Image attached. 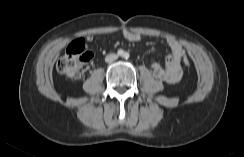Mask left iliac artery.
Here are the masks:
<instances>
[{
	"label": "left iliac artery",
	"mask_w": 244,
	"mask_h": 157,
	"mask_svg": "<svg viewBox=\"0 0 244 157\" xmlns=\"http://www.w3.org/2000/svg\"><path fill=\"white\" fill-rule=\"evenodd\" d=\"M123 57H124L125 59H128V58L130 57V55H129V53L125 52L124 55H123Z\"/></svg>",
	"instance_id": "44dca946"
}]
</instances>
